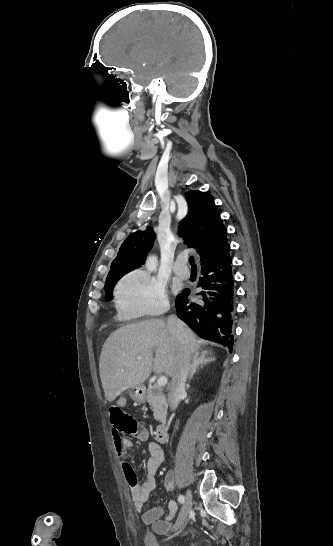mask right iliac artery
Returning <instances> with one entry per match:
<instances>
[{
    "instance_id": "1",
    "label": "right iliac artery",
    "mask_w": 333,
    "mask_h": 546,
    "mask_svg": "<svg viewBox=\"0 0 333 546\" xmlns=\"http://www.w3.org/2000/svg\"><path fill=\"white\" fill-rule=\"evenodd\" d=\"M178 501L182 504L185 502V497L183 495L178 496Z\"/></svg>"
}]
</instances>
